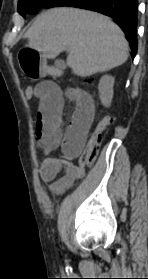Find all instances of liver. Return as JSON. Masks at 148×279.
<instances>
[{"mask_svg":"<svg viewBox=\"0 0 148 279\" xmlns=\"http://www.w3.org/2000/svg\"><path fill=\"white\" fill-rule=\"evenodd\" d=\"M24 38L44 58H55L68 48L67 65L81 77L118 67L128 58L122 30L110 18L82 9H49L37 17Z\"/></svg>","mask_w":148,"mask_h":279,"instance_id":"liver-1","label":"liver"}]
</instances>
